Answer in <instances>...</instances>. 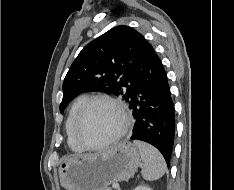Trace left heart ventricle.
Returning <instances> with one entry per match:
<instances>
[{
    "label": "left heart ventricle",
    "instance_id": "b2bd125f",
    "mask_svg": "<svg viewBox=\"0 0 234 190\" xmlns=\"http://www.w3.org/2000/svg\"><path fill=\"white\" fill-rule=\"evenodd\" d=\"M121 116L107 102H95L87 110L81 126V136L89 144H99L108 139L121 127Z\"/></svg>",
    "mask_w": 234,
    "mask_h": 190
}]
</instances>
